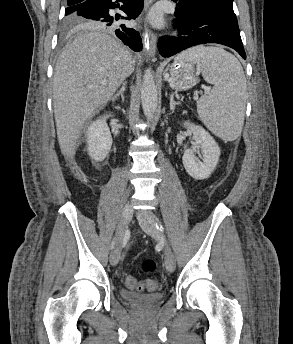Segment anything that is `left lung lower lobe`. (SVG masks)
<instances>
[{"instance_id": "obj_1", "label": "left lung lower lobe", "mask_w": 293, "mask_h": 344, "mask_svg": "<svg viewBox=\"0 0 293 344\" xmlns=\"http://www.w3.org/2000/svg\"><path fill=\"white\" fill-rule=\"evenodd\" d=\"M175 16L174 24L180 31L179 37L163 36L159 39L158 49L162 57L173 56L195 45L218 43L233 48L246 59L240 31L213 16L202 14L195 7L182 6L180 2H177Z\"/></svg>"}]
</instances>
